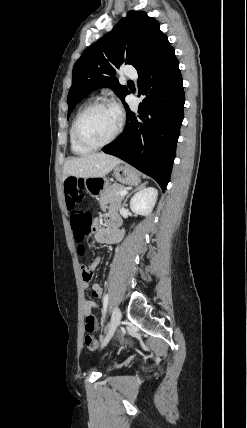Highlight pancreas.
I'll return each mask as SVG.
<instances>
[{
    "label": "pancreas",
    "mask_w": 247,
    "mask_h": 428,
    "mask_svg": "<svg viewBox=\"0 0 247 428\" xmlns=\"http://www.w3.org/2000/svg\"><path fill=\"white\" fill-rule=\"evenodd\" d=\"M124 190V186L114 183L108 185L100 195V207L104 209L107 204L117 205L123 199L119 192Z\"/></svg>",
    "instance_id": "1"
}]
</instances>
